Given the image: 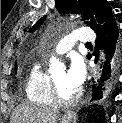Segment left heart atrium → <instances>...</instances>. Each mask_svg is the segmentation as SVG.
<instances>
[{
  "instance_id": "1",
  "label": "left heart atrium",
  "mask_w": 122,
  "mask_h": 123,
  "mask_svg": "<svg viewBox=\"0 0 122 123\" xmlns=\"http://www.w3.org/2000/svg\"><path fill=\"white\" fill-rule=\"evenodd\" d=\"M86 70L83 61L79 57H73L65 74V82L74 89H79L84 83Z\"/></svg>"
}]
</instances>
